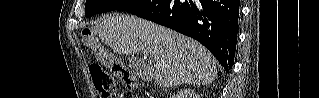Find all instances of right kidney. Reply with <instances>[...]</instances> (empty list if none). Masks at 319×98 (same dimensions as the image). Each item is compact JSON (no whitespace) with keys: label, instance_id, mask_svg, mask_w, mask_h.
<instances>
[{"label":"right kidney","instance_id":"right-kidney-1","mask_svg":"<svg viewBox=\"0 0 319 98\" xmlns=\"http://www.w3.org/2000/svg\"><path fill=\"white\" fill-rule=\"evenodd\" d=\"M191 95L194 96V94H191ZM187 96H188L187 94H180V97H181V98H187ZM195 97H198V98H199L200 96H195Z\"/></svg>","mask_w":319,"mask_h":98}]
</instances>
